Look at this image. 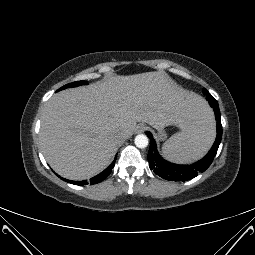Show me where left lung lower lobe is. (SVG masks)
Returning a JSON list of instances; mask_svg holds the SVG:
<instances>
[{
  "mask_svg": "<svg viewBox=\"0 0 255 255\" xmlns=\"http://www.w3.org/2000/svg\"><path fill=\"white\" fill-rule=\"evenodd\" d=\"M207 99L215 112L217 121V137L210 151L200 161L190 165H177L165 161L157 151L156 143L152 137V134L150 132L146 133L151 140L148 153L149 167L158 176L169 181H187L196 177L199 173L204 172L212 163L221 142L222 125L217 101L210 93L207 95Z\"/></svg>",
  "mask_w": 255,
  "mask_h": 255,
  "instance_id": "obj_1",
  "label": "left lung lower lobe"
}]
</instances>
